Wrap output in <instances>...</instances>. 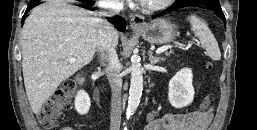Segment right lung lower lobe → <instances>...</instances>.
<instances>
[{
	"label": "right lung lower lobe",
	"mask_w": 257,
	"mask_h": 130,
	"mask_svg": "<svg viewBox=\"0 0 257 130\" xmlns=\"http://www.w3.org/2000/svg\"><path fill=\"white\" fill-rule=\"evenodd\" d=\"M37 5H38V1L31 0L30 3H29V6L26 9L25 14L28 13L32 8H34ZM23 18L24 19L26 18L25 15L23 16ZM109 20L116 25L118 30L124 31V29L126 27V24H125V22H124L122 17L117 16V17L110 18Z\"/></svg>",
	"instance_id": "1"
}]
</instances>
